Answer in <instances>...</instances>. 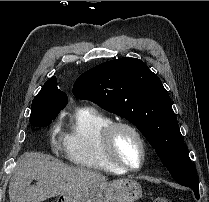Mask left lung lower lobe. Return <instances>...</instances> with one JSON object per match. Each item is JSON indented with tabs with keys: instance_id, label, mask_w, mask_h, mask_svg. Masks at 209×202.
Instances as JSON below:
<instances>
[{
	"instance_id": "1",
	"label": "left lung lower lobe",
	"mask_w": 209,
	"mask_h": 202,
	"mask_svg": "<svg viewBox=\"0 0 209 202\" xmlns=\"http://www.w3.org/2000/svg\"><path fill=\"white\" fill-rule=\"evenodd\" d=\"M194 191V193H195V197H196V199H199V189H194L193 190Z\"/></svg>"
}]
</instances>
